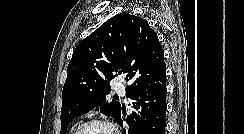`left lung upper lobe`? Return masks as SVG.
Returning <instances> with one entry per match:
<instances>
[{"instance_id":"1","label":"left lung upper lobe","mask_w":244,"mask_h":134,"mask_svg":"<svg viewBox=\"0 0 244 134\" xmlns=\"http://www.w3.org/2000/svg\"><path fill=\"white\" fill-rule=\"evenodd\" d=\"M125 74L126 93L166 83V64L156 33L141 17L116 15L82 40L67 68L61 108V134L70 122L96 106L115 120L120 103L106 102L110 81Z\"/></svg>"}]
</instances>
